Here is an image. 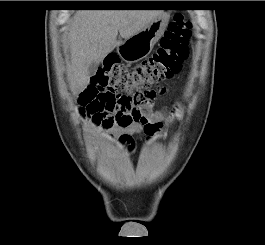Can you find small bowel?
<instances>
[{
  "label": "small bowel",
  "instance_id": "small-bowel-1",
  "mask_svg": "<svg viewBox=\"0 0 265 245\" xmlns=\"http://www.w3.org/2000/svg\"><path fill=\"white\" fill-rule=\"evenodd\" d=\"M96 87L92 84L86 86L79 97V103L85 108L89 109L91 103L99 96ZM178 114V106L174 105L171 110H160L155 112H147L144 115L149 122H168ZM112 134L118 137V139L124 143L131 145L133 143L134 135L139 132L148 133L145 126L141 122H131L127 125L114 124L112 126H105Z\"/></svg>",
  "mask_w": 265,
  "mask_h": 245
}]
</instances>
